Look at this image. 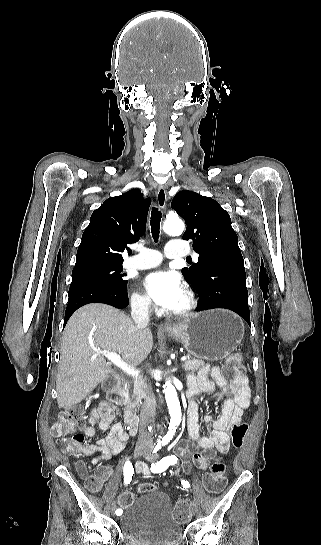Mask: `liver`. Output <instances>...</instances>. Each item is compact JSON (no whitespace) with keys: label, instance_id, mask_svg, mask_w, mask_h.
Segmentation results:
<instances>
[{"label":"liver","instance_id":"1","mask_svg":"<svg viewBox=\"0 0 321 545\" xmlns=\"http://www.w3.org/2000/svg\"><path fill=\"white\" fill-rule=\"evenodd\" d=\"M153 337L147 327H138L122 311L91 303L69 319L62 337L56 391L59 409L81 403L112 373L103 355L119 353L127 365H139L148 357Z\"/></svg>","mask_w":321,"mask_h":545}]
</instances>
